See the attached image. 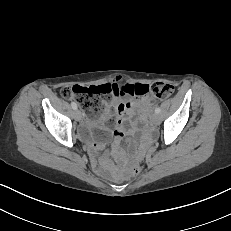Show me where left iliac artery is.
I'll use <instances>...</instances> for the list:
<instances>
[{"label":"left iliac artery","mask_w":231,"mask_h":231,"mask_svg":"<svg viewBox=\"0 0 231 231\" xmlns=\"http://www.w3.org/2000/svg\"><path fill=\"white\" fill-rule=\"evenodd\" d=\"M161 109L159 107H156L155 113H160Z\"/></svg>","instance_id":"left-iliac-artery-1"}]
</instances>
